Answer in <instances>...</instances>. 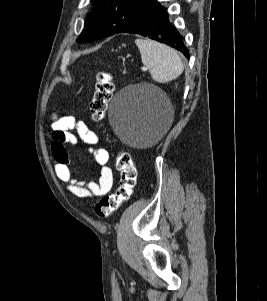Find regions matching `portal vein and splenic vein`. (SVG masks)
<instances>
[{"label":"portal vein and splenic vein","mask_w":267,"mask_h":301,"mask_svg":"<svg viewBox=\"0 0 267 301\" xmlns=\"http://www.w3.org/2000/svg\"><path fill=\"white\" fill-rule=\"evenodd\" d=\"M147 69H148L147 67H142L143 71H147Z\"/></svg>","instance_id":"obj_1"}]
</instances>
